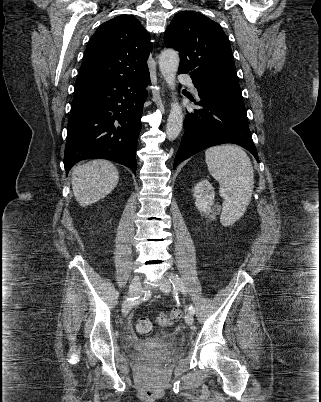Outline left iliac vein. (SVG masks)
Segmentation results:
<instances>
[{"mask_svg":"<svg viewBox=\"0 0 321 402\" xmlns=\"http://www.w3.org/2000/svg\"><path fill=\"white\" fill-rule=\"evenodd\" d=\"M159 287H160V290H161L162 292L166 293V294L170 293V292H171V288H172L170 281H169L168 278H166V277L162 278ZM185 321H186V323H187L188 325H193V323H194V318H193V315H192L190 312H187V313H186V315H185Z\"/></svg>","mask_w":321,"mask_h":402,"instance_id":"left-iliac-vein-1","label":"left iliac vein"}]
</instances>
